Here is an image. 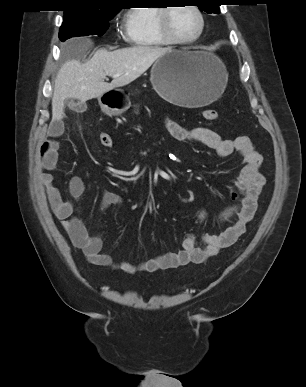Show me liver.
I'll list each match as a JSON object with an SVG mask.
<instances>
[{"instance_id":"obj_1","label":"liver","mask_w":306,"mask_h":387,"mask_svg":"<svg viewBox=\"0 0 306 387\" xmlns=\"http://www.w3.org/2000/svg\"><path fill=\"white\" fill-rule=\"evenodd\" d=\"M170 48L135 46L107 51L98 49L86 63L72 59L60 68L52 97V120L63 118L64 100L81 102L98 98L105 92L123 87L139 78ZM113 78L111 83L104 81Z\"/></svg>"}]
</instances>
